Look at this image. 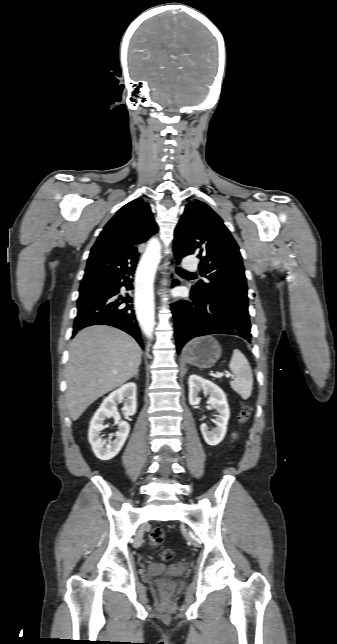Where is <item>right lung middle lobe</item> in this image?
Returning <instances> with one entry per match:
<instances>
[{
    "label": "right lung middle lobe",
    "mask_w": 337,
    "mask_h": 644,
    "mask_svg": "<svg viewBox=\"0 0 337 644\" xmlns=\"http://www.w3.org/2000/svg\"><path fill=\"white\" fill-rule=\"evenodd\" d=\"M109 288V280H98L81 283L78 302L86 300Z\"/></svg>",
    "instance_id": "1"
}]
</instances>
